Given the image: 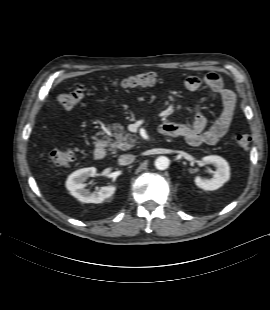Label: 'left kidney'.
<instances>
[{
  "instance_id": "5707ae66",
  "label": "left kidney",
  "mask_w": 270,
  "mask_h": 310,
  "mask_svg": "<svg viewBox=\"0 0 270 310\" xmlns=\"http://www.w3.org/2000/svg\"><path fill=\"white\" fill-rule=\"evenodd\" d=\"M205 163L212 164L216 170L212 178H195V184L206 191H214L221 188L230 179V167L228 162L220 156H206L202 159Z\"/></svg>"
}]
</instances>
